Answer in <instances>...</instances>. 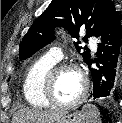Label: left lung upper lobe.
Wrapping results in <instances>:
<instances>
[{
    "mask_svg": "<svg viewBox=\"0 0 122 123\" xmlns=\"http://www.w3.org/2000/svg\"><path fill=\"white\" fill-rule=\"evenodd\" d=\"M116 14L117 11L110 0H52L23 37L19 57H30L50 43L54 39L53 29L56 26L66 28L75 38H78L80 28L87 30L86 37H99ZM79 43L74 42L78 52L82 49ZM81 55L87 64L91 58L90 51L84 48Z\"/></svg>",
    "mask_w": 122,
    "mask_h": 123,
    "instance_id": "1",
    "label": "left lung upper lobe"
}]
</instances>
